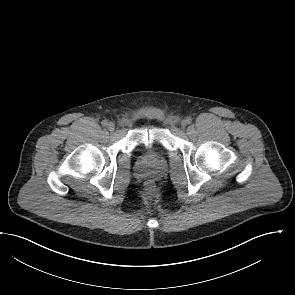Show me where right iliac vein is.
<instances>
[{
	"label": "right iliac vein",
	"mask_w": 295,
	"mask_h": 295,
	"mask_svg": "<svg viewBox=\"0 0 295 295\" xmlns=\"http://www.w3.org/2000/svg\"><path fill=\"white\" fill-rule=\"evenodd\" d=\"M107 128L109 131H114L115 129V124L113 122H109L107 125Z\"/></svg>",
	"instance_id": "right-iliac-vein-1"
}]
</instances>
